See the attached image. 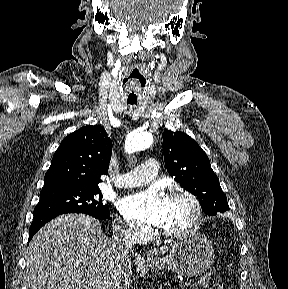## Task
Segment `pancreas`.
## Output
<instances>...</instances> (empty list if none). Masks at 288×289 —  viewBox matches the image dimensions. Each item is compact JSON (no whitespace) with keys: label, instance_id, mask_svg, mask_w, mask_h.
Segmentation results:
<instances>
[{"label":"pancreas","instance_id":"cf45deb5","mask_svg":"<svg viewBox=\"0 0 288 289\" xmlns=\"http://www.w3.org/2000/svg\"><path fill=\"white\" fill-rule=\"evenodd\" d=\"M212 272L205 273L202 277L199 278L198 282L193 285V288L196 289H203L208 288L210 286V279H211Z\"/></svg>","mask_w":288,"mask_h":289}]
</instances>
